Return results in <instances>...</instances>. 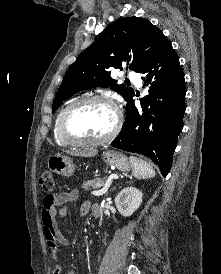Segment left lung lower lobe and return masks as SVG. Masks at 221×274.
<instances>
[{"label":"left lung lower lobe","instance_id":"1","mask_svg":"<svg viewBox=\"0 0 221 274\" xmlns=\"http://www.w3.org/2000/svg\"><path fill=\"white\" fill-rule=\"evenodd\" d=\"M151 83L149 95L142 98L141 108L127 101L126 120L111 146L148 156L167 176L177 137L183 128L185 81L178 56L170 42L143 70Z\"/></svg>","mask_w":221,"mask_h":274}]
</instances>
